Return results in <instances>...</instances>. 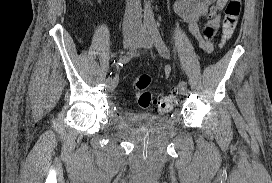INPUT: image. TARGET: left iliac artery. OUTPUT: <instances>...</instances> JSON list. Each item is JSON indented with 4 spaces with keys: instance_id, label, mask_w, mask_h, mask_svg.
Instances as JSON below:
<instances>
[{
    "instance_id": "left-iliac-artery-1",
    "label": "left iliac artery",
    "mask_w": 272,
    "mask_h": 183,
    "mask_svg": "<svg viewBox=\"0 0 272 183\" xmlns=\"http://www.w3.org/2000/svg\"><path fill=\"white\" fill-rule=\"evenodd\" d=\"M149 31H150L151 37H152V39H153V41L155 43V46H156L158 52L160 53V55L162 57L166 58V59H169L170 58L169 49L166 46V44L164 43V41H163V39H162L156 25L151 24L149 26ZM179 87L180 88H185V87H187V83L185 81H180L179 82Z\"/></svg>"
}]
</instances>
